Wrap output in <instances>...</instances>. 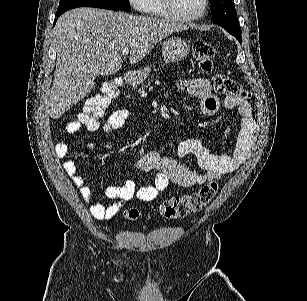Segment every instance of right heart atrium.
Masks as SVG:
<instances>
[{
	"label": "right heart atrium",
	"instance_id": "right-heart-atrium-1",
	"mask_svg": "<svg viewBox=\"0 0 307 301\" xmlns=\"http://www.w3.org/2000/svg\"><path fill=\"white\" fill-rule=\"evenodd\" d=\"M130 2L134 4L136 11H151L152 9L149 0H130Z\"/></svg>",
	"mask_w": 307,
	"mask_h": 301
}]
</instances>
